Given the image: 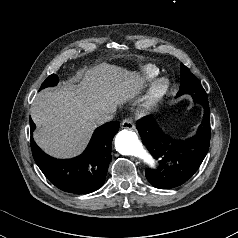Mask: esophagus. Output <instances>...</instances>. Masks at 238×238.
Here are the masks:
<instances>
[{"label":"esophagus","mask_w":238,"mask_h":238,"mask_svg":"<svg viewBox=\"0 0 238 238\" xmlns=\"http://www.w3.org/2000/svg\"><path fill=\"white\" fill-rule=\"evenodd\" d=\"M134 127L135 126H134V123L131 118H126L121 123V128H123V129L132 130V129H134Z\"/></svg>","instance_id":"1"}]
</instances>
